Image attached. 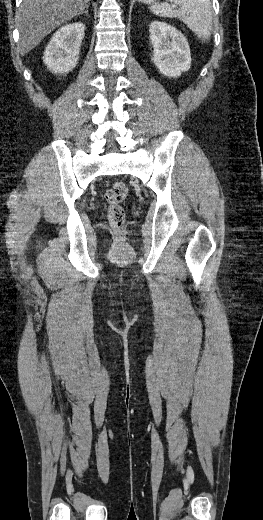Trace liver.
I'll return each mask as SVG.
<instances>
[{
    "mask_svg": "<svg viewBox=\"0 0 263 520\" xmlns=\"http://www.w3.org/2000/svg\"><path fill=\"white\" fill-rule=\"evenodd\" d=\"M89 0H22L16 14L22 55L34 49L61 24L84 13Z\"/></svg>",
    "mask_w": 263,
    "mask_h": 520,
    "instance_id": "obj_1",
    "label": "liver"
}]
</instances>
